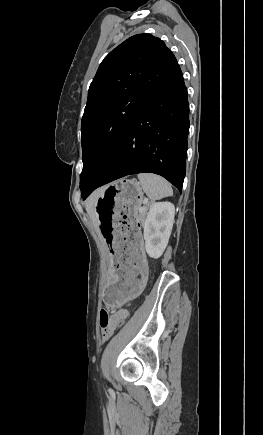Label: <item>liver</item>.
I'll return each mask as SVG.
<instances>
[{
  "instance_id": "1",
  "label": "liver",
  "mask_w": 263,
  "mask_h": 435,
  "mask_svg": "<svg viewBox=\"0 0 263 435\" xmlns=\"http://www.w3.org/2000/svg\"><path fill=\"white\" fill-rule=\"evenodd\" d=\"M97 195H98V193L92 195L88 199V201L86 202V211H87L88 215L90 216V218L92 219V221L95 223L97 230L99 231L98 226H97V217L95 215V207H94V203H95Z\"/></svg>"
}]
</instances>
